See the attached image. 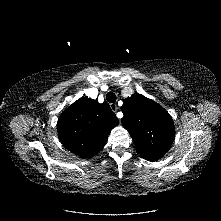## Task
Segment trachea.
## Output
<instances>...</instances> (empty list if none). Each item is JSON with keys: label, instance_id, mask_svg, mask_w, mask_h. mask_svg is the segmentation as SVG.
Segmentation results:
<instances>
[{"label": "trachea", "instance_id": "obj_1", "mask_svg": "<svg viewBox=\"0 0 221 221\" xmlns=\"http://www.w3.org/2000/svg\"><path fill=\"white\" fill-rule=\"evenodd\" d=\"M106 99H107V101H108L109 103H114V102H116V95H115V93H113V92H108V93L106 94Z\"/></svg>", "mask_w": 221, "mask_h": 221}]
</instances>
